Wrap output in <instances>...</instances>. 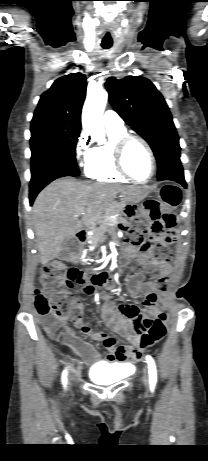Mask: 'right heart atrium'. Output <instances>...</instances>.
Returning <instances> with one entry per match:
<instances>
[{
    "label": "right heart atrium",
    "mask_w": 208,
    "mask_h": 461,
    "mask_svg": "<svg viewBox=\"0 0 208 461\" xmlns=\"http://www.w3.org/2000/svg\"><path fill=\"white\" fill-rule=\"evenodd\" d=\"M89 142L87 135L83 132L80 134L75 145V158L79 165H85L89 155Z\"/></svg>",
    "instance_id": "right-heart-atrium-1"
}]
</instances>
